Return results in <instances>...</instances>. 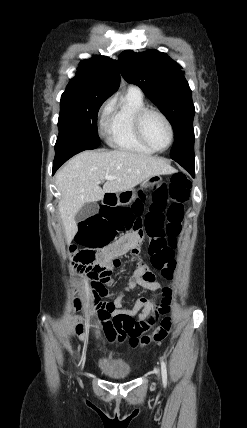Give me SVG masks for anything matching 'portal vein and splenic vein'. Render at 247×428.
Segmentation results:
<instances>
[{
	"label": "portal vein and splenic vein",
	"mask_w": 247,
	"mask_h": 428,
	"mask_svg": "<svg viewBox=\"0 0 247 428\" xmlns=\"http://www.w3.org/2000/svg\"><path fill=\"white\" fill-rule=\"evenodd\" d=\"M104 179H105V180H112V179H116V177H115V176L106 175V176L104 177Z\"/></svg>",
	"instance_id": "obj_1"
}]
</instances>
